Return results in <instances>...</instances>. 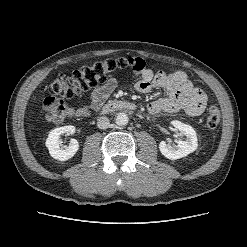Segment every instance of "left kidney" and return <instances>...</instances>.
I'll list each match as a JSON object with an SVG mask.
<instances>
[{
  "label": "left kidney",
  "mask_w": 247,
  "mask_h": 247,
  "mask_svg": "<svg viewBox=\"0 0 247 247\" xmlns=\"http://www.w3.org/2000/svg\"><path fill=\"white\" fill-rule=\"evenodd\" d=\"M172 125L186 136V139L178 141L175 146H170L165 141H161L159 150L166 158L176 160L194 152L197 149L198 142L196 132L192 126L180 121H172Z\"/></svg>",
  "instance_id": "left-kidney-1"
}]
</instances>
